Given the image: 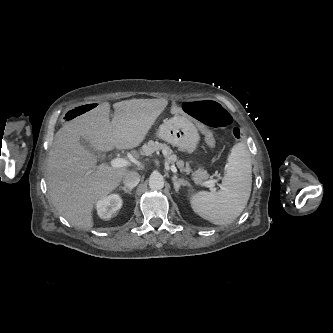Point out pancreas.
<instances>
[{
	"instance_id": "pancreas-1",
	"label": "pancreas",
	"mask_w": 333,
	"mask_h": 333,
	"mask_svg": "<svg viewBox=\"0 0 333 333\" xmlns=\"http://www.w3.org/2000/svg\"><path fill=\"white\" fill-rule=\"evenodd\" d=\"M165 151L167 155V162L172 165H176L180 171L186 175H189L191 173L192 179L195 183H204L207 179H209V174L204 169H198L195 171H192L189 164H184L182 160H179L177 156L173 153V151L170 149L169 146H167L164 143H160L158 141H152L150 140L148 143H145L141 150L140 154L145 156H151L154 152L157 151Z\"/></svg>"
}]
</instances>
